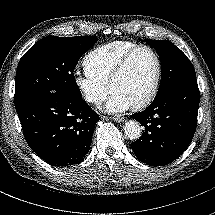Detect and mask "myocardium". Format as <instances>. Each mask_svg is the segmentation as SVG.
<instances>
[{
  "mask_svg": "<svg viewBox=\"0 0 215 215\" xmlns=\"http://www.w3.org/2000/svg\"><path fill=\"white\" fill-rule=\"evenodd\" d=\"M142 49H145L152 54V56L155 60L156 69H155V75H154L152 85H151L147 95L145 96V98L142 101H140L139 103L131 105V108L134 111H140V110L147 108L152 103V101L154 100V98L157 94V91H158V88L160 85V81H161V76H162V62H161L158 52L153 47H151L150 45H147V44L135 45L119 59V61L117 62L116 66L109 78V81H108V88L111 91V85L113 84V82L117 78H119L121 76V74L125 71L127 65L129 64L131 58L133 57V55L137 51L142 50Z\"/></svg>",
  "mask_w": 215,
  "mask_h": 215,
  "instance_id": "1",
  "label": "myocardium"
}]
</instances>
